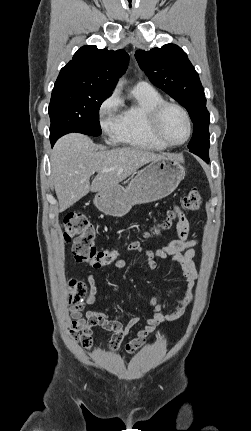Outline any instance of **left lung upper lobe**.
Segmentation results:
<instances>
[{
	"label": "left lung upper lobe",
	"mask_w": 251,
	"mask_h": 431,
	"mask_svg": "<svg viewBox=\"0 0 251 431\" xmlns=\"http://www.w3.org/2000/svg\"><path fill=\"white\" fill-rule=\"evenodd\" d=\"M135 57L151 83L186 108L195 129L189 151L207 161L210 114L199 75L187 54L175 44H166L150 51L137 50Z\"/></svg>",
	"instance_id": "obj_1"
}]
</instances>
